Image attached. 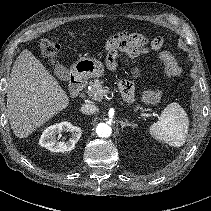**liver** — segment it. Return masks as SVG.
<instances>
[{"label":"liver","mask_w":211,"mask_h":211,"mask_svg":"<svg viewBox=\"0 0 211 211\" xmlns=\"http://www.w3.org/2000/svg\"><path fill=\"white\" fill-rule=\"evenodd\" d=\"M69 105L57 80L29 50L17 57L7 90V117L18 138H26Z\"/></svg>","instance_id":"6515ba94"}]
</instances>
